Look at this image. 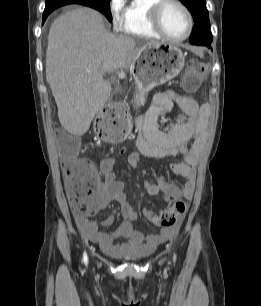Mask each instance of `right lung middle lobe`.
I'll return each instance as SVG.
<instances>
[{
    "label": "right lung middle lobe",
    "mask_w": 261,
    "mask_h": 306,
    "mask_svg": "<svg viewBox=\"0 0 261 306\" xmlns=\"http://www.w3.org/2000/svg\"><path fill=\"white\" fill-rule=\"evenodd\" d=\"M67 4H81L100 11L109 21H112L110 12V0H46L44 12H52Z\"/></svg>",
    "instance_id": "1"
}]
</instances>
